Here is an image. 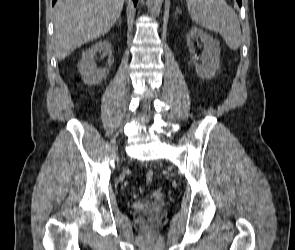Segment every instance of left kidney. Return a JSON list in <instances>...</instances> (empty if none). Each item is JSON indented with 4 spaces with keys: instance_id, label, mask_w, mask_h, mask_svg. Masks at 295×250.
<instances>
[{
    "instance_id": "obj_1",
    "label": "left kidney",
    "mask_w": 295,
    "mask_h": 250,
    "mask_svg": "<svg viewBox=\"0 0 295 250\" xmlns=\"http://www.w3.org/2000/svg\"><path fill=\"white\" fill-rule=\"evenodd\" d=\"M198 38L204 43V52L200 59L202 64L196 67V73L200 78L212 79L220 64L219 42L203 30L193 27L187 35V46L191 53H194L192 41Z\"/></svg>"
}]
</instances>
